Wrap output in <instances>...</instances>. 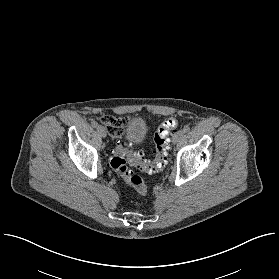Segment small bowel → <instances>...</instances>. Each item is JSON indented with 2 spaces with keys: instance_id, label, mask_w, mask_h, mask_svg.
Returning a JSON list of instances; mask_svg holds the SVG:
<instances>
[{
  "instance_id": "small-bowel-1",
  "label": "small bowel",
  "mask_w": 279,
  "mask_h": 279,
  "mask_svg": "<svg viewBox=\"0 0 279 279\" xmlns=\"http://www.w3.org/2000/svg\"><path fill=\"white\" fill-rule=\"evenodd\" d=\"M130 118L131 117L114 118L107 115H102L99 119L109 128L111 136L116 138L124 132ZM114 121H118V125H114Z\"/></svg>"
}]
</instances>
